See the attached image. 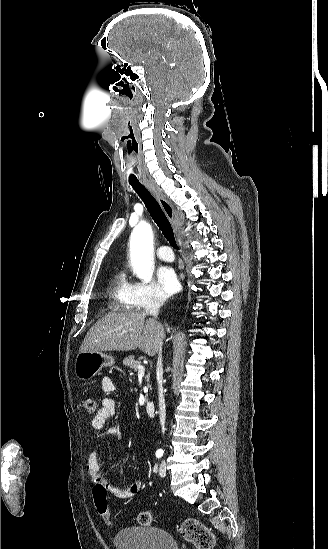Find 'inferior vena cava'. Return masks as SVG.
<instances>
[{
  "label": "inferior vena cava",
  "mask_w": 328,
  "mask_h": 549,
  "mask_svg": "<svg viewBox=\"0 0 328 549\" xmlns=\"http://www.w3.org/2000/svg\"><path fill=\"white\" fill-rule=\"evenodd\" d=\"M163 301L161 299H150L147 301L144 307L145 315H151L154 319H157L159 309H161ZM159 357L157 361V373H158V401H159V413H160V425H162V433H164V425L166 421V409L165 399L163 395V365H162V343L158 345Z\"/></svg>",
  "instance_id": "obj_1"
}]
</instances>
